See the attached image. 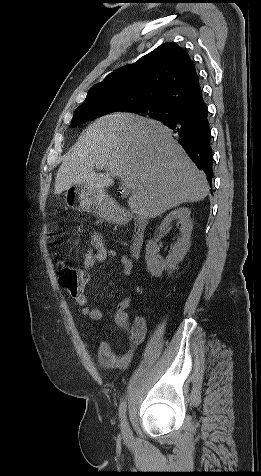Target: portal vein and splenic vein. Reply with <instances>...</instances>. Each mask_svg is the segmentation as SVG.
<instances>
[{
	"mask_svg": "<svg viewBox=\"0 0 261 476\" xmlns=\"http://www.w3.org/2000/svg\"><path fill=\"white\" fill-rule=\"evenodd\" d=\"M116 175H118V174H116ZM118 177L121 179V181H122V183L125 187V193H127V194L131 193L132 190L135 188V185H134L132 179H130L129 177H126V176H122V175H119Z\"/></svg>",
	"mask_w": 261,
	"mask_h": 476,
	"instance_id": "portal-vein-and-splenic-vein-1",
	"label": "portal vein and splenic vein"
}]
</instances>
